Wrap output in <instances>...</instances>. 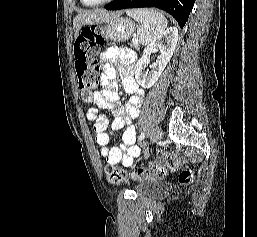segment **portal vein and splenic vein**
Instances as JSON below:
<instances>
[{
    "instance_id": "obj_1",
    "label": "portal vein and splenic vein",
    "mask_w": 257,
    "mask_h": 237,
    "mask_svg": "<svg viewBox=\"0 0 257 237\" xmlns=\"http://www.w3.org/2000/svg\"><path fill=\"white\" fill-rule=\"evenodd\" d=\"M132 42H133V44H138V39L133 38V39H132Z\"/></svg>"
}]
</instances>
